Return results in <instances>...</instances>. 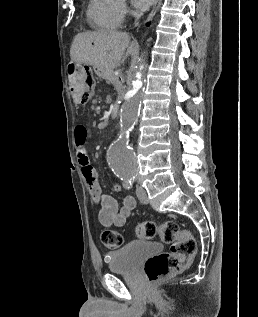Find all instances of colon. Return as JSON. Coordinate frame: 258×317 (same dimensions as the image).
I'll list each match as a JSON object with an SVG mask.
<instances>
[{
  "label": "colon",
  "instance_id": "5ec220e1",
  "mask_svg": "<svg viewBox=\"0 0 258 317\" xmlns=\"http://www.w3.org/2000/svg\"><path fill=\"white\" fill-rule=\"evenodd\" d=\"M95 79L92 72L83 70L80 97L87 101L94 93ZM136 235L141 239H152L159 236L161 241L170 246V250L150 258L145 264V277L153 284L170 274L181 271L197 252L195 238L176 221L168 220L161 224L147 221L136 227ZM103 244L111 249L123 244L122 235L113 230L102 233Z\"/></svg>",
  "mask_w": 258,
  "mask_h": 317
}]
</instances>
